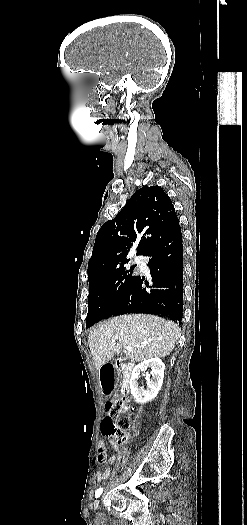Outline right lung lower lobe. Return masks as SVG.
<instances>
[{
	"mask_svg": "<svg viewBox=\"0 0 247 525\" xmlns=\"http://www.w3.org/2000/svg\"><path fill=\"white\" fill-rule=\"evenodd\" d=\"M150 257L152 281L136 276L114 315L158 314L181 321L183 312V243L180 226L150 245L142 254ZM145 284L146 288L142 285Z\"/></svg>",
	"mask_w": 247,
	"mask_h": 525,
	"instance_id": "98d812e1",
	"label": "right lung lower lobe"
}]
</instances>
